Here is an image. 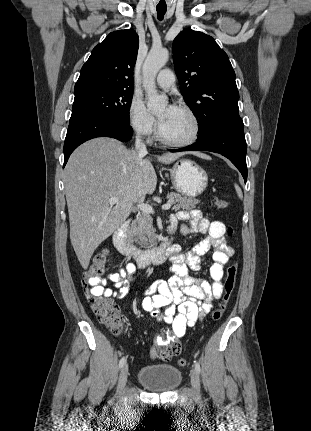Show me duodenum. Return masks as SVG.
Instances as JSON below:
<instances>
[{
	"label": "duodenum",
	"instance_id": "1",
	"mask_svg": "<svg viewBox=\"0 0 311 431\" xmlns=\"http://www.w3.org/2000/svg\"><path fill=\"white\" fill-rule=\"evenodd\" d=\"M129 221H123L113 234L115 248L124 255L131 258L139 266L158 264L169 258L173 252L172 237L167 238L161 244L149 249H141L129 241L127 237ZM170 233L174 232L170 230Z\"/></svg>",
	"mask_w": 311,
	"mask_h": 431
}]
</instances>
